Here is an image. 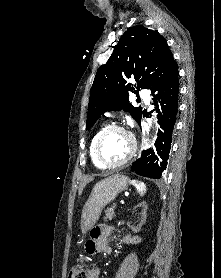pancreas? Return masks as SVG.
I'll use <instances>...</instances> for the list:
<instances>
[{
  "label": "pancreas",
  "instance_id": "1",
  "mask_svg": "<svg viewBox=\"0 0 221 278\" xmlns=\"http://www.w3.org/2000/svg\"><path fill=\"white\" fill-rule=\"evenodd\" d=\"M114 215H115L114 207L107 209L105 216H104V221L112 220Z\"/></svg>",
  "mask_w": 221,
  "mask_h": 278
}]
</instances>
